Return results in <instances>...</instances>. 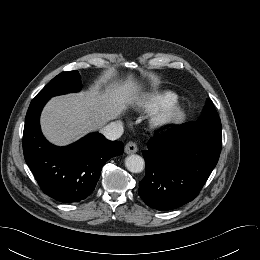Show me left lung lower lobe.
Instances as JSON below:
<instances>
[{
	"instance_id": "0a47b994",
	"label": "left lung lower lobe",
	"mask_w": 260,
	"mask_h": 260,
	"mask_svg": "<svg viewBox=\"0 0 260 260\" xmlns=\"http://www.w3.org/2000/svg\"><path fill=\"white\" fill-rule=\"evenodd\" d=\"M222 135L176 126L143 151L146 175L138 194L151 208L165 211L193 200L216 166Z\"/></svg>"
}]
</instances>
